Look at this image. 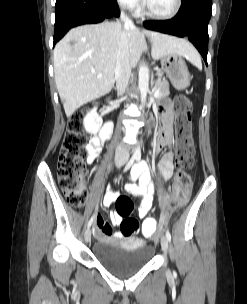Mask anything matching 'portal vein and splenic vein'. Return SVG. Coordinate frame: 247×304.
Masks as SVG:
<instances>
[{
	"label": "portal vein and splenic vein",
	"instance_id": "portal-vein-and-splenic-vein-1",
	"mask_svg": "<svg viewBox=\"0 0 247 304\" xmlns=\"http://www.w3.org/2000/svg\"><path fill=\"white\" fill-rule=\"evenodd\" d=\"M99 76H101V75H99ZM158 93H159V90H155L154 95L157 96Z\"/></svg>",
	"mask_w": 247,
	"mask_h": 304
}]
</instances>
